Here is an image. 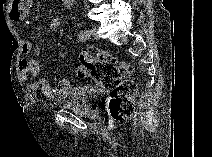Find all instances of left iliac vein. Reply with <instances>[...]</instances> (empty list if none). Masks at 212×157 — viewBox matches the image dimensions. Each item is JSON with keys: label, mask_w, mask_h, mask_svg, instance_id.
I'll list each match as a JSON object with an SVG mask.
<instances>
[{"label": "left iliac vein", "mask_w": 212, "mask_h": 157, "mask_svg": "<svg viewBox=\"0 0 212 157\" xmlns=\"http://www.w3.org/2000/svg\"><path fill=\"white\" fill-rule=\"evenodd\" d=\"M90 34H91L95 39H99V34H98V32H97L96 27H92V28L90 29Z\"/></svg>", "instance_id": "obj_1"}]
</instances>
